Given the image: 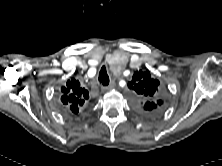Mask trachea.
<instances>
[{
    "label": "trachea",
    "mask_w": 222,
    "mask_h": 166,
    "mask_svg": "<svg viewBox=\"0 0 222 166\" xmlns=\"http://www.w3.org/2000/svg\"><path fill=\"white\" fill-rule=\"evenodd\" d=\"M99 80L103 86H107L109 84V76L107 74L105 66L101 68V71L99 73Z\"/></svg>",
    "instance_id": "3493384b"
}]
</instances>
